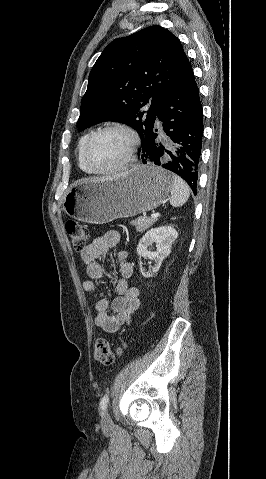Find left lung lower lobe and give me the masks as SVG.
<instances>
[{
	"label": "left lung lower lobe",
	"instance_id": "left-lung-lower-lobe-1",
	"mask_svg": "<svg viewBox=\"0 0 266 479\" xmlns=\"http://www.w3.org/2000/svg\"><path fill=\"white\" fill-rule=\"evenodd\" d=\"M152 135L141 157L183 178L197 193L203 122L192 67L161 103Z\"/></svg>",
	"mask_w": 266,
	"mask_h": 479
}]
</instances>
